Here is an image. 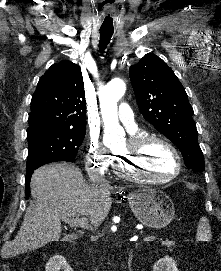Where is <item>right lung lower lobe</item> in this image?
<instances>
[{
  "instance_id": "98d812e1",
  "label": "right lung lower lobe",
  "mask_w": 221,
  "mask_h": 271,
  "mask_svg": "<svg viewBox=\"0 0 221 271\" xmlns=\"http://www.w3.org/2000/svg\"><path fill=\"white\" fill-rule=\"evenodd\" d=\"M35 169H31V170H27L26 171V188H25V194L27 195L26 198H28V196L30 195V179L32 176V173Z\"/></svg>"
}]
</instances>
